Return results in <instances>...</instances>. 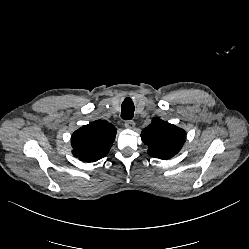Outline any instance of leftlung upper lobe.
<instances>
[{
  "instance_id": "5c2ea615",
  "label": "left lung upper lobe",
  "mask_w": 249,
  "mask_h": 249,
  "mask_svg": "<svg viewBox=\"0 0 249 249\" xmlns=\"http://www.w3.org/2000/svg\"><path fill=\"white\" fill-rule=\"evenodd\" d=\"M186 132L177 126L167 123L158 117L146 127L141 138L148 146V154L154 158L169 159L182 148Z\"/></svg>"
}]
</instances>
